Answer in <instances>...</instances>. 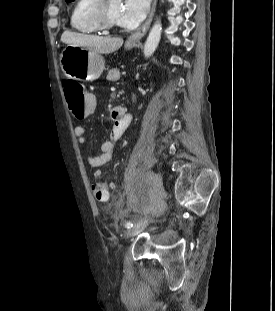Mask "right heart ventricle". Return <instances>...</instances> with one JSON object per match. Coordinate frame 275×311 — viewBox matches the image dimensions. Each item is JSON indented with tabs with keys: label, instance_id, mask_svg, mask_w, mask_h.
Instances as JSON below:
<instances>
[{
	"label": "right heart ventricle",
	"instance_id": "e07e8e85",
	"mask_svg": "<svg viewBox=\"0 0 275 311\" xmlns=\"http://www.w3.org/2000/svg\"><path fill=\"white\" fill-rule=\"evenodd\" d=\"M96 0H75L70 13V26L83 34H97L101 30L94 23L91 10Z\"/></svg>",
	"mask_w": 275,
	"mask_h": 311
}]
</instances>
